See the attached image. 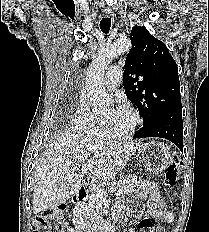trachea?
<instances>
[{
    "label": "trachea",
    "mask_w": 209,
    "mask_h": 232,
    "mask_svg": "<svg viewBox=\"0 0 209 232\" xmlns=\"http://www.w3.org/2000/svg\"><path fill=\"white\" fill-rule=\"evenodd\" d=\"M111 27V18H102L100 21V29L103 33L107 34L110 31Z\"/></svg>",
    "instance_id": "3493384b"
}]
</instances>
